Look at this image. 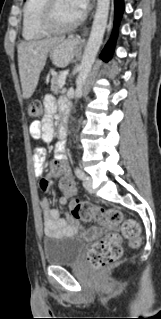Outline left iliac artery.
Here are the masks:
<instances>
[{"label": "left iliac artery", "mask_w": 161, "mask_h": 319, "mask_svg": "<svg viewBox=\"0 0 161 319\" xmlns=\"http://www.w3.org/2000/svg\"><path fill=\"white\" fill-rule=\"evenodd\" d=\"M75 174L81 180H84L86 178V175L84 174V172L78 167L75 168Z\"/></svg>", "instance_id": "44dca946"}]
</instances>
